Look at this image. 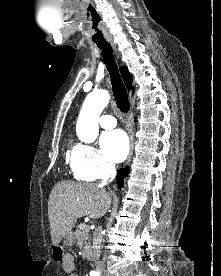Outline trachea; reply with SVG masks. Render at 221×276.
<instances>
[{
  "mask_svg": "<svg viewBox=\"0 0 221 276\" xmlns=\"http://www.w3.org/2000/svg\"><path fill=\"white\" fill-rule=\"evenodd\" d=\"M96 44L99 47V49L102 51V56L111 78L113 95H114L117 107L120 109L121 112L127 113L130 110V103L128 100L126 88L121 79L114 55L112 53L113 51L112 47L106 41L96 42Z\"/></svg>",
  "mask_w": 221,
  "mask_h": 276,
  "instance_id": "trachea-1",
  "label": "trachea"
}]
</instances>
